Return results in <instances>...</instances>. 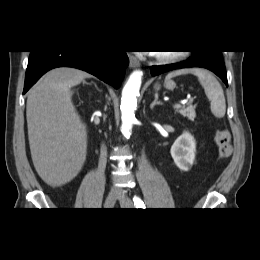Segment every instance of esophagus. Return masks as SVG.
I'll return each mask as SVG.
<instances>
[{"label":"esophagus","instance_id":"obj_1","mask_svg":"<svg viewBox=\"0 0 260 260\" xmlns=\"http://www.w3.org/2000/svg\"><path fill=\"white\" fill-rule=\"evenodd\" d=\"M129 64L131 68H137L140 66L139 60L133 55H129Z\"/></svg>","mask_w":260,"mask_h":260}]
</instances>
